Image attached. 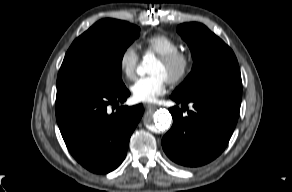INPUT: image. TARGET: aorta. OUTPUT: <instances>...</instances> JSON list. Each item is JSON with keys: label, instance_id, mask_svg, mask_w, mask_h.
I'll use <instances>...</instances> for the list:
<instances>
[{"label": "aorta", "instance_id": "obj_1", "mask_svg": "<svg viewBox=\"0 0 292 192\" xmlns=\"http://www.w3.org/2000/svg\"><path fill=\"white\" fill-rule=\"evenodd\" d=\"M151 62L152 56L146 55L141 65L137 67V74L144 76L148 72V68L151 65ZM171 120V114L165 109L157 110L153 115V122L155 123L156 128L161 131L167 130L170 127Z\"/></svg>", "mask_w": 292, "mask_h": 192}]
</instances>
